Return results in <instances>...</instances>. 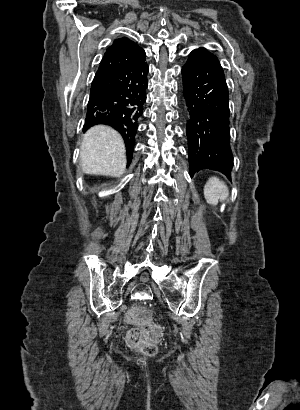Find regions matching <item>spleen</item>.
Masks as SVG:
<instances>
[{
    "label": "spleen",
    "instance_id": "3e777b00",
    "mask_svg": "<svg viewBox=\"0 0 300 410\" xmlns=\"http://www.w3.org/2000/svg\"><path fill=\"white\" fill-rule=\"evenodd\" d=\"M229 195L225 183L217 177H211L204 186V196L208 204L217 205Z\"/></svg>",
    "mask_w": 300,
    "mask_h": 410
}]
</instances>
